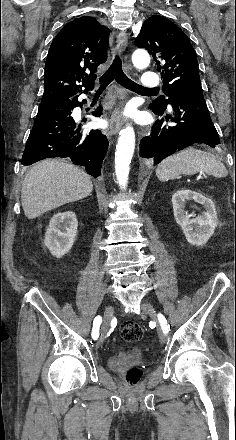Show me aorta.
<instances>
[{"label": "aorta", "instance_id": "obj_1", "mask_svg": "<svg viewBox=\"0 0 236 440\" xmlns=\"http://www.w3.org/2000/svg\"><path fill=\"white\" fill-rule=\"evenodd\" d=\"M133 65L145 69L150 64V57L144 49H136L132 54ZM135 149V132L132 126H126L118 138L115 151V174L121 189H126L131 160Z\"/></svg>", "mask_w": 236, "mask_h": 440}]
</instances>
